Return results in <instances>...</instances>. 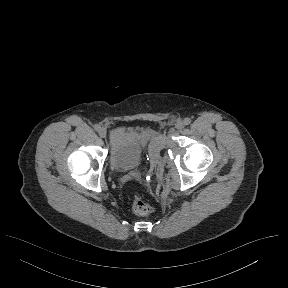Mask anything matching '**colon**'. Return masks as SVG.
Returning <instances> with one entry per match:
<instances>
[{
  "label": "colon",
  "instance_id": "1",
  "mask_svg": "<svg viewBox=\"0 0 288 288\" xmlns=\"http://www.w3.org/2000/svg\"><path fill=\"white\" fill-rule=\"evenodd\" d=\"M132 210L137 215H147L152 212V206L139 196H135L132 200Z\"/></svg>",
  "mask_w": 288,
  "mask_h": 288
}]
</instances>
